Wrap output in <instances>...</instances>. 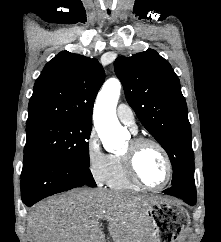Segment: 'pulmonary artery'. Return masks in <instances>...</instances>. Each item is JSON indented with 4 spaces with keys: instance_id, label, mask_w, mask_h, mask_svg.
I'll list each match as a JSON object with an SVG mask.
<instances>
[{
    "instance_id": "e3ab8cb5",
    "label": "pulmonary artery",
    "mask_w": 221,
    "mask_h": 242,
    "mask_svg": "<svg viewBox=\"0 0 221 242\" xmlns=\"http://www.w3.org/2000/svg\"><path fill=\"white\" fill-rule=\"evenodd\" d=\"M117 116L119 120L127 125L133 133H136L137 126L132 109L125 103H120L117 106Z\"/></svg>"
}]
</instances>
